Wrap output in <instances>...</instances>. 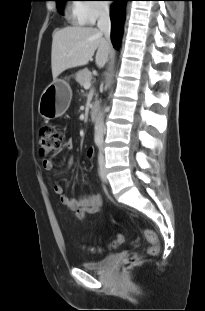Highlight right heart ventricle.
<instances>
[{
    "label": "right heart ventricle",
    "mask_w": 205,
    "mask_h": 311,
    "mask_svg": "<svg viewBox=\"0 0 205 311\" xmlns=\"http://www.w3.org/2000/svg\"><path fill=\"white\" fill-rule=\"evenodd\" d=\"M79 6H80L79 4H74V6L72 7L70 18L73 23L83 25L86 22L84 21L83 16L79 10Z\"/></svg>",
    "instance_id": "obj_1"
}]
</instances>
